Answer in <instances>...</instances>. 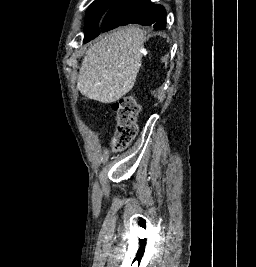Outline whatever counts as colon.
I'll list each match as a JSON object with an SVG mask.
<instances>
[{
  "mask_svg": "<svg viewBox=\"0 0 256 267\" xmlns=\"http://www.w3.org/2000/svg\"><path fill=\"white\" fill-rule=\"evenodd\" d=\"M113 111L118 115L117 135L114 138L115 147L122 150L129 146L137 136V119L141 112L134 95L125 96L113 103Z\"/></svg>",
  "mask_w": 256,
  "mask_h": 267,
  "instance_id": "1",
  "label": "colon"
}]
</instances>
